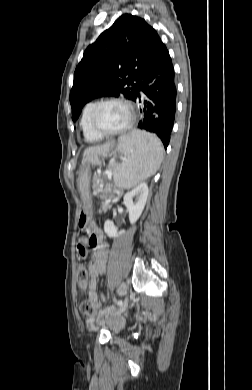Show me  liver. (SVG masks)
<instances>
[{"mask_svg":"<svg viewBox=\"0 0 252 390\" xmlns=\"http://www.w3.org/2000/svg\"><path fill=\"white\" fill-rule=\"evenodd\" d=\"M109 145H111V144H106V145H104V146H97V147H92V148H89L88 150H98V149H105V150H107L108 151V149H107V146H109ZM87 150V151H88Z\"/></svg>","mask_w":252,"mask_h":390,"instance_id":"6515ba94","label":"liver"}]
</instances>
